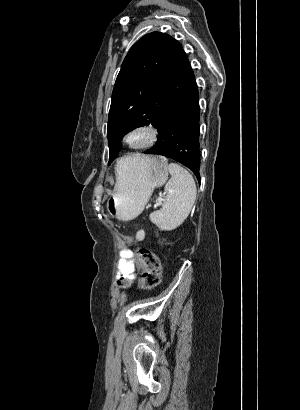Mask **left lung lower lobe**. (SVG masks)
I'll list each match as a JSON object with an SVG mask.
<instances>
[{"mask_svg":"<svg viewBox=\"0 0 300 410\" xmlns=\"http://www.w3.org/2000/svg\"><path fill=\"white\" fill-rule=\"evenodd\" d=\"M199 116L198 88L192 72L183 93L157 128L159 138L156 145L144 153L180 162L191 169L200 182Z\"/></svg>","mask_w":300,"mask_h":410,"instance_id":"0a47b994","label":"left lung lower lobe"}]
</instances>
